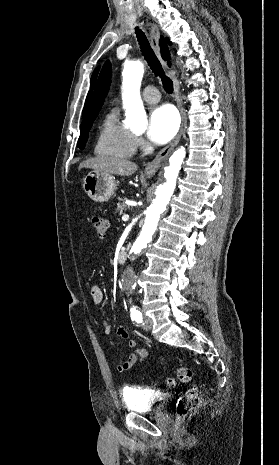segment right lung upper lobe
Here are the masks:
<instances>
[{
    "label": "right lung upper lobe",
    "instance_id": "1",
    "mask_svg": "<svg viewBox=\"0 0 279 465\" xmlns=\"http://www.w3.org/2000/svg\"><path fill=\"white\" fill-rule=\"evenodd\" d=\"M160 46L163 59L168 61V65H170L169 50L163 38L160 39ZM111 76V64L109 61H107L100 73L94 95L92 97L88 112L80 127V130L90 126L97 117L98 112L100 111L102 104L104 103V99L108 93L111 83Z\"/></svg>",
    "mask_w": 279,
    "mask_h": 465
}]
</instances>
